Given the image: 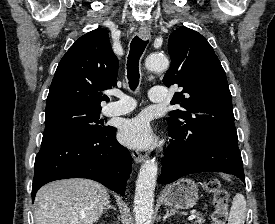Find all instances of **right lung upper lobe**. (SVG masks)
Wrapping results in <instances>:
<instances>
[{"label": "right lung upper lobe", "instance_id": "1", "mask_svg": "<svg viewBox=\"0 0 275 224\" xmlns=\"http://www.w3.org/2000/svg\"><path fill=\"white\" fill-rule=\"evenodd\" d=\"M118 59L108 31L97 28L81 36L61 59L47 97L46 113L76 106L101 108L102 90L116 85Z\"/></svg>", "mask_w": 275, "mask_h": 224}]
</instances>
